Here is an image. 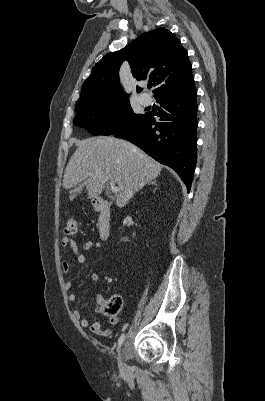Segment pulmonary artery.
<instances>
[{"label": "pulmonary artery", "mask_w": 265, "mask_h": 401, "mask_svg": "<svg viewBox=\"0 0 265 401\" xmlns=\"http://www.w3.org/2000/svg\"><path fill=\"white\" fill-rule=\"evenodd\" d=\"M140 102L144 104H148L151 102V97L150 96H142L139 98Z\"/></svg>", "instance_id": "obj_1"}]
</instances>
